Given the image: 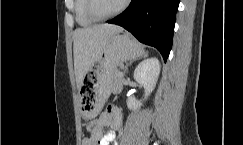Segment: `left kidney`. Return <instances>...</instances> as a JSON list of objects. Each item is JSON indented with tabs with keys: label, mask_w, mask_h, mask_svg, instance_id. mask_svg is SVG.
Listing matches in <instances>:
<instances>
[{
	"label": "left kidney",
	"mask_w": 243,
	"mask_h": 145,
	"mask_svg": "<svg viewBox=\"0 0 243 145\" xmlns=\"http://www.w3.org/2000/svg\"><path fill=\"white\" fill-rule=\"evenodd\" d=\"M160 68V62L157 58L145 59L136 67L133 77L145 89L143 100L147 99L154 90L160 74ZM141 105L142 100H137L134 96L127 99V106L130 110H137Z\"/></svg>",
	"instance_id": "obj_1"
}]
</instances>
